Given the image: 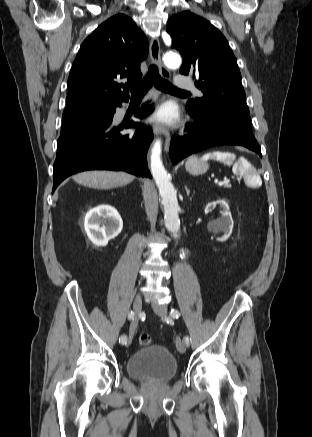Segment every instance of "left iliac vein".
Here are the masks:
<instances>
[{"instance_id":"obj_1","label":"left iliac vein","mask_w":312,"mask_h":437,"mask_svg":"<svg viewBox=\"0 0 312 437\" xmlns=\"http://www.w3.org/2000/svg\"><path fill=\"white\" fill-rule=\"evenodd\" d=\"M152 308H153V310L155 311V313L158 316L166 317V315H167V307H166V305L158 304V303H152ZM176 347H177V350L180 353H184L186 351L185 342L183 340H181L180 338H177V340H176Z\"/></svg>"}]
</instances>
